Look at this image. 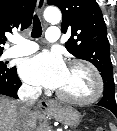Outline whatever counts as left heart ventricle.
I'll use <instances>...</instances> for the list:
<instances>
[{"label": "left heart ventricle", "mask_w": 117, "mask_h": 131, "mask_svg": "<svg viewBox=\"0 0 117 131\" xmlns=\"http://www.w3.org/2000/svg\"><path fill=\"white\" fill-rule=\"evenodd\" d=\"M94 89L93 78L80 67H68L63 84L58 91L77 98L89 96Z\"/></svg>", "instance_id": "1"}]
</instances>
